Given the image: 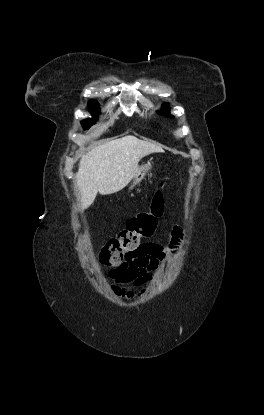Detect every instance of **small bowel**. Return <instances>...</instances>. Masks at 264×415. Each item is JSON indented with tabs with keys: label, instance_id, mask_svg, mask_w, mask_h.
<instances>
[{
	"label": "small bowel",
	"instance_id": "1",
	"mask_svg": "<svg viewBox=\"0 0 264 415\" xmlns=\"http://www.w3.org/2000/svg\"><path fill=\"white\" fill-rule=\"evenodd\" d=\"M173 254H177L170 247L158 243H148L141 247L135 257L127 263L123 269H111L108 273L110 280L113 282L112 289L120 290L123 288V294L127 299L136 295L134 289L142 287L148 281L150 273L154 271L158 264L168 260Z\"/></svg>",
	"mask_w": 264,
	"mask_h": 415
}]
</instances>
